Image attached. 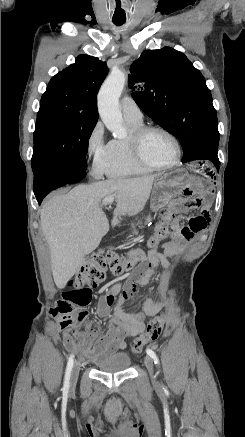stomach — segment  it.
<instances>
[{
	"instance_id": "stomach-1",
	"label": "stomach",
	"mask_w": 245,
	"mask_h": 437,
	"mask_svg": "<svg viewBox=\"0 0 245 437\" xmlns=\"http://www.w3.org/2000/svg\"><path fill=\"white\" fill-rule=\"evenodd\" d=\"M189 181L187 174L181 170L170 171L158 175L154 180L151 193V208L154 211L165 206L167 200L175 191L184 188Z\"/></svg>"
}]
</instances>
